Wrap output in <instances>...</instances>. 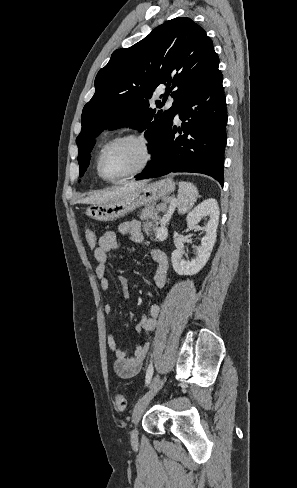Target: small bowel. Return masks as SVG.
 <instances>
[{
	"mask_svg": "<svg viewBox=\"0 0 297 488\" xmlns=\"http://www.w3.org/2000/svg\"><path fill=\"white\" fill-rule=\"evenodd\" d=\"M118 232L121 235L128 236L134 243H144L146 241L145 235L142 231L141 224L137 221H126L118 226ZM118 250V240L116 233L107 231L98 239V245L94 249V257L97 261L96 276L99 280L100 288L106 291L110 287V279L107 277V265L110 253ZM149 255L155 265V272L153 275L154 285L158 289H164L168 281L169 262L165 253L159 249H150ZM118 281L121 287L122 296L124 299L130 297V284L124 276H119ZM162 308L158 304L151 305L148 316L142 317L140 323L137 325L139 333L151 335L156 329L158 317L160 316ZM106 315H111L113 312L111 305H106L104 308ZM149 342L138 346V348L129 354L117 346L114 335L111 334L108 339V347L114 356V371L124 379L132 378L139 374L143 363L149 351Z\"/></svg>",
	"mask_w": 297,
	"mask_h": 488,
	"instance_id": "obj_1",
	"label": "small bowel"
}]
</instances>
